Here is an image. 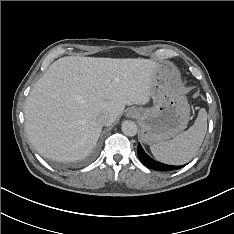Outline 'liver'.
<instances>
[{"label": "liver", "instance_id": "liver-1", "mask_svg": "<svg viewBox=\"0 0 234 234\" xmlns=\"http://www.w3.org/2000/svg\"><path fill=\"white\" fill-rule=\"evenodd\" d=\"M157 63L142 58L68 56L35 83L24 115L28 138L39 154L76 161L96 146L108 113L112 124L125 105H145ZM109 124V125H110Z\"/></svg>", "mask_w": 234, "mask_h": 234}]
</instances>
